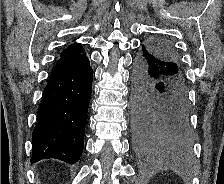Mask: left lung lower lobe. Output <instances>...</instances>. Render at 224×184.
I'll return each mask as SVG.
<instances>
[{
  "mask_svg": "<svg viewBox=\"0 0 224 184\" xmlns=\"http://www.w3.org/2000/svg\"><path fill=\"white\" fill-rule=\"evenodd\" d=\"M133 135L136 148L150 154L186 152L192 138L182 69L138 52L132 76Z\"/></svg>",
  "mask_w": 224,
  "mask_h": 184,
  "instance_id": "obj_1",
  "label": "left lung lower lobe"
}]
</instances>
